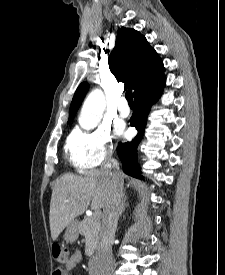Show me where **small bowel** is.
Listing matches in <instances>:
<instances>
[{
  "instance_id": "small-bowel-1",
  "label": "small bowel",
  "mask_w": 225,
  "mask_h": 275,
  "mask_svg": "<svg viewBox=\"0 0 225 275\" xmlns=\"http://www.w3.org/2000/svg\"><path fill=\"white\" fill-rule=\"evenodd\" d=\"M82 254L80 251H75L71 257L70 260L66 264V268L64 270L55 271L57 272L54 275H74L77 266L81 260Z\"/></svg>"
}]
</instances>
